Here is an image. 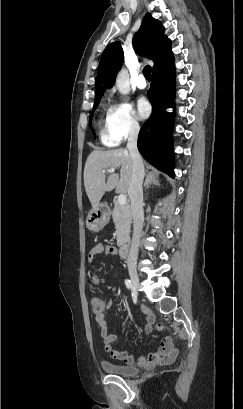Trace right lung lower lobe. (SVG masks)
I'll list each match as a JSON object with an SVG mask.
<instances>
[{"label": "right lung lower lobe", "mask_w": 243, "mask_h": 409, "mask_svg": "<svg viewBox=\"0 0 243 409\" xmlns=\"http://www.w3.org/2000/svg\"><path fill=\"white\" fill-rule=\"evenodd\" d=\"M175 67L172 51L152 70L148 99L152 114L142 126L138 149L154 167L174 177L172 129L174 113L166 108L174 105Z\"/></svg>", "instance_id": "right-lung-lower-lobe-1"}]
</instances>
